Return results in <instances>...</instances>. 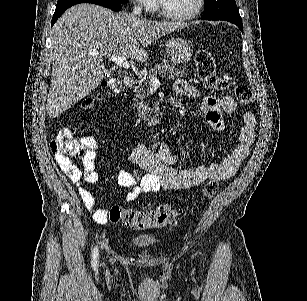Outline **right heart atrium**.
Returning <instances> with one entry per match:
<instances>
[{
  "label": "right heart atrium",
  "instance_id": "d8ad5b80",
  "mask_svg": "<svg viewBox=\"0 0 307 301\" xmlns=\"http://www.w3.org/2000/svg\"><path fill=\"white\" fill-rule=\"evenodd\" d=\"M135 5L140 11H152L154 2L153 0H136Z\"/></svg>",
  "mask_w": 307,
  "mask_h": 301
}]
</instances>
